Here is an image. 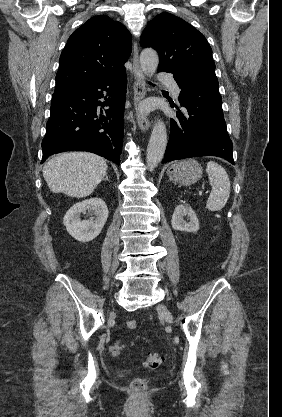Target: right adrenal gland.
I'll use <instances>...</instances> for the list:
<instances>
[{"label":"right adrenal gland","mask_w":282,"mask_h":417,"mask_svg":"<svg viewBox=\"0 0 282 417\" xmlns=\"http://www.w3.org/2000/svg\"><path fill=\"white\" fill-rule=\"evenodd\" d=\"M106 180H109L108 176H105Z\"/></svg>","instance_id":"obj_1"}]
</instances>
